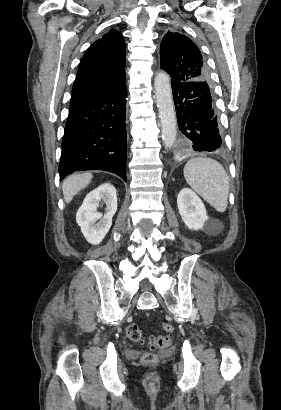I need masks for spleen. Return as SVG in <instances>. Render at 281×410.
<instances>
[{
  "instance_id": "3e777b00",
  "label": "spleen",
  "mask_w": 281,
  "mask_h": 410,
  "mask_svg": "<svg viewBox=\"0 0 281 410\" xmlns=\"http://www.w3.org/2000/svg\"><path fill=\"white\" fill-rule=\"evenodd\" d=\"M186 182L218 212H225L229 178L223 166L214 159L196 157L184 167Z\"/></svg>"
}]
</instances>
